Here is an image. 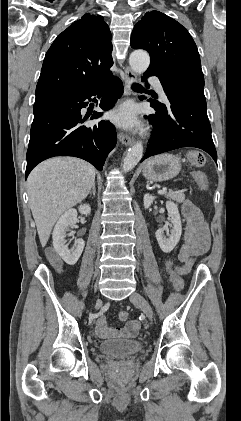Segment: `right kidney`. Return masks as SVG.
<instances>
[{
    "instance_id": "ca27d5eb",
    "label": "right kidney",
    "mask_w": 241,
    "mask_h": 421,
    "mask_svg": "<svg viewBox=\"0 0 241 421\" xmlns=\"http://www.w3.org/2000/svg\"><path fill=\"white\" fill-rule=\"evenodd\" d=\"M81 214L89 215L91 207L89 204H83L78 207ZM77 221V210L72 208L67 210L58 220L53 230V246L59 256L69 265H75L80 258L85 242L83 239H75V248L69 249L66 244V232L69 227L73 226Z\"/></svg>"
}]
</instances>
